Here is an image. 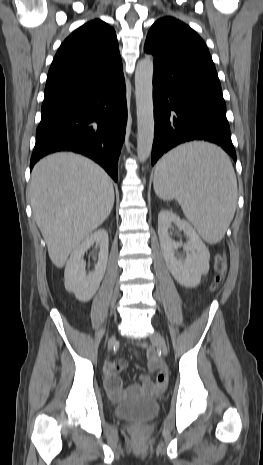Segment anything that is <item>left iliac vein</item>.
<instances>
[{
    "instance_id": "1",
    "label": "left iliac vein",
    "mask_w": 263,
    "mask_h": 465,
    "mask_svg": "<svg viewBox=\"0 0 263 465\" xmlns=\"http://www.w3.org/2000/svg\"><path fill=\"white\" fill-rule=\"evenodd\" d=\"M152 343H154L157 348L161 351L164 356L168 355V347L164 337L157 331H154L149 336Z\"/></svg>"
}]
</instances>
